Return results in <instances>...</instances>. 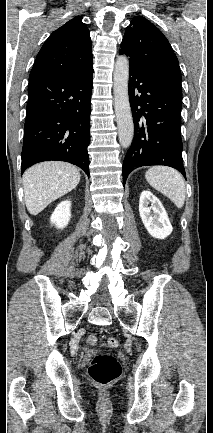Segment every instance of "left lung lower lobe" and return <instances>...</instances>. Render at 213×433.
Returning <instances> with one entry per match:
<instances>
[{
	"label": "left lung lower lobe",
	"mask_w": 213,
	"mask_h": 433,
	"mask_svg": "<svg viewBox=\"0 0 213 433\" xmlns=\"http://www.w3.org/2000/svg\"><path fill=\"white\" fill-rule=\"evenodd\" d=\"M129 100L135 135L123 162V185L131 171L146 165L170 166L186 178L180 132L181 93L130 65Z\"/></svg>",
	"instance_id": "obj_1"
}]
</instances>
